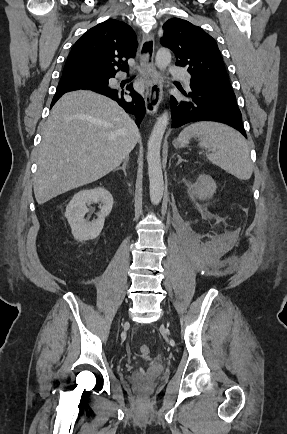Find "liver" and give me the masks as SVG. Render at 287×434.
I'll return each instance as SVG.
<instances>
[{
    "instance_id": "6515ba94",
    "label": "liver",
    "mask_w": 287,
    "mask_h": 434,
    "mask_svg": "<svg viewBox=\"0 0 287 434\" xmlns=\"http://www.w3.org/2000/svg\"><path fill=\"white\" fill-rule=\"evenodd\" d=\"M140 138L113 100L91 92L65 93L45 123L34 178L39 205L116 169Z\"/></svg>"
}]
</instances>
